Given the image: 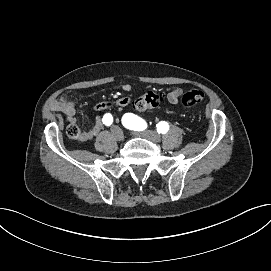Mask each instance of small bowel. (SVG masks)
Wrapping results in <instances>:
<instances>
[{
  "mask_svg": "<svg viewBox=\"0 0 271 271\" xmlns=\"http://www.w3.org/2000/svg\"><path fill=\"white\" fill-rule=\"evenodd\" d=\"M122 89L126 92H130L132 90V85L128 83L124 84L122 86ZM184 92L185 91L183 88H176L167 94V99L170 103L177 104L179 100L182 98V96L184 95ZM130 103H131V99L125 96V97H120L114 101L99 102L94 105V110L105 111V110H110L113 108H121V107H125L129 105ZM51 109L53 111L64 114L70 125L76 124V118H75L76 108L73 102L61 97V98L55 99L51 103ZM102 123H103V120L101 117L96 118L95 122L90 128L81 132L79 139L81 141H86V140H91L94 137H96L98 133L100 132Z\"/></svg>",
  "mask_w": 271,
  "mask_h": 271,
  "instance_id": "c3829d8e",
  "label": "small bowel"
}]
</instances>
